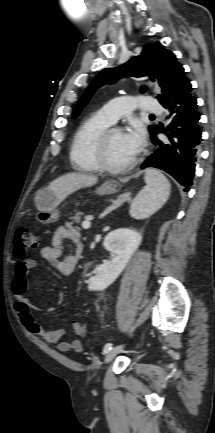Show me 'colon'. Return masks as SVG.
<instances>
[{"label": "colon", "mask_w": 215, "mask_h": 433, "mask_svg": "<svg viewBox=\"0 0 215 433\" xmlns=\"http://www.w3.org/2000/svg\"><path fill=\"white\" fill-rule=\"evenodd\" d=\"M38 237L31 228L19 227L15 236V254L19 259H24L29 249L38 246ZM72 328L75 334L79 336L86 335L88 325L82 321H74Z\"/></svg>", "instance_id": "obj_1"}]
</instances>
